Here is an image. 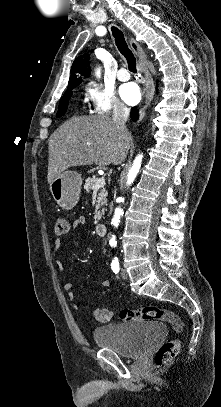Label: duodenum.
Listing matches in <instances>:
<instances>
[{
	"instance_id": "obj_1",
	"label": "duodenum",
	"mask_w": 221,
	"mask_h": 407,
	"mask_svg": "<svg viewBox=\"0 0 221 407\" xmlns=\"http://www.w3.org/2000/svg\"><path fill=\"white\" fill-rule=\"evenodd\" d=\"M96 232L100 236H104L107 232V225L104 223H98L96 225Z\"/></svg>"
}]
</instances>
